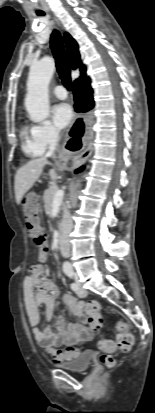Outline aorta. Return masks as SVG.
<instances>
[{
    "instance_id": "1",
    "label": "aorta",
    "mask_w": 155,
    "mask_h": 413,
    "mask_svg": "<svg viewBox=\"0 0 155 413\" xmlns=\"http://www.w3.org/2000/svg\"><path fill=\"white\" fill-rule=\"evenodd\" d=\"M54 70L55 62L50 57H44L30 67L25 107L33 122H41L49 115L48 85ZM63 266L71 268L68 262Z\"/></svg>"
}]
</instances>
